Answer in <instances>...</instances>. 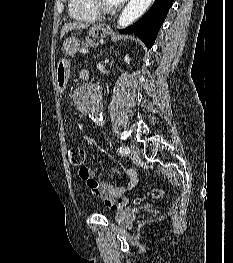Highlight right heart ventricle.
<instances>
[{
  "instance_id": "right-heart-ventricle-1",
  "label": "right heart ventricle",
  "mask_w": 233,
  "mask_h": 263,
  "mask_svg": "<svg viewBox=\"0 0 233 263\" xmlns=\"http://www.w3.org/2000/svg\"><path fill=\"white\" fill-rule=\"evenodd\" d=\"M68 7L69 13L74 19L91 21L98 17V13L92 7L90 0H69Z\"/></svg>"
}]
</instances>
